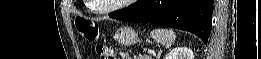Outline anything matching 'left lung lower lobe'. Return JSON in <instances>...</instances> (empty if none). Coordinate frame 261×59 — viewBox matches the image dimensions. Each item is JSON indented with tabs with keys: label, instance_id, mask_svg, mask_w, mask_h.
I'll return each mask as SVG.
<instances>
[{
	"label": "left lung lower lobe",
	"instance_id": "1",
	"mask_svg": "<svg viewBox=\"0 0 261 59\" xmlns=\"http://www.w3.org/2000/svg\"><path fill=\"white\" fill-rule=\"evenodd\" d=\"M213 0H138L110 17L162 25L191 32L207 44L211 32Z\"/></svg>",
	"mask_w": 261,
	"mask_h": 59
}]
</instances>
